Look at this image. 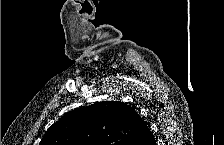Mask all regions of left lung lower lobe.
Masks as SVG:
<instances>
[{"mask_svg":"<svg viewBox=\"0 0 224 145\" xmlns=\"http://www.w3.org/2000/svg\"><path fill=\"white\" fill-rule=\"evenodd\" d=\"M132 145H155V139L152 136L146 122L143 124Z\"/></svg>","mask_w":224,"mask_h":145,"instance_id":"left-lung-lower-lobe-1","label":"left lung lower lobe"}]
</instances>
